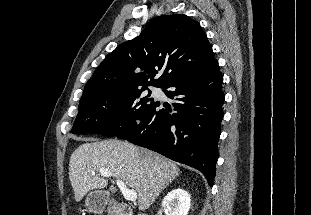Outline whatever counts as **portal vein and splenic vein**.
Segmentation results:
<instances>
[{
	"mask_svg": "<svg viewBox=\"0 0 311 215\" xmlns=\"http://www.w3.org/2000/svg\"><path fill=\"white\" fill-rule=\"evenodd\" d=\"M100 175L103 177H112L113 176V174L107 169H101ZM116 184H117L118 188L120 189L122 195L124 196V198L126 200L131 201V202L136 201L137 193L135 190L129 189L127 187V185L122 180H119V179H116Z\"/></svg>",
	"mask_w": 311,
	"mask_h": 215,
	"instance_id": "1",
	"label": "portal vein and splenic vein"
}]
</instances>
